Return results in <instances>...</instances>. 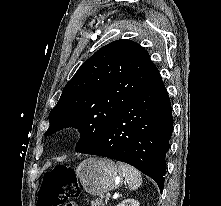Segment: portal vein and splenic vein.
Instances as JSON below:
<instances>
[{
	"instance_id": "18ae733b",
	"label": "portal vein and splenic vein",
	"mask_w": 221,
	"mask_h": 206,
	"mask_svg": "<svg viewBox=\"0 0 221 206\" xmlns=\"http://www.w3.org/2000/svg\"><path fill=\"white\" fill-rule=\"evenodd\" d=\"M106 197H107V199H109V198L111 197V194H110V193H107V194H106Z\"/></svg>"
}]
</instances>
